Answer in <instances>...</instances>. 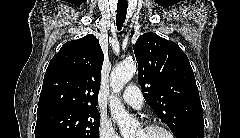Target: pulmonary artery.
I'll return each instance as SVG.
<instances>
[{
    "label": "pulmonary artery",
    "mask_w": 240,
    "mask_h": 138,
    "mask_svg": "<svg viewBox=\"0 0 240 138\" xmlns=\"http://www.w3.org/2000/svg\"><path fill=\"white\" fill-rule=\"evenodd\" d=\"M122 99L126 104L135 109H140L144 103L141 91L135 85H130L124 90Z\"/></svg>",
    "instance_id": "obj_1"
}]
</instances>
